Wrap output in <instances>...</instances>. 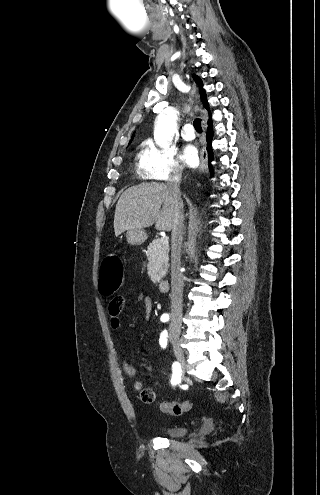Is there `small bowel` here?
Returning <instances> with one entry per match:
<instances>
[{
    "instance_id": "small-bowel-1",
    "label": "small bowel",
    "mask_w": 320,
    "mask_h": 495,
    "mask_svg": "<svg viewBox=\"0 0 320 495\" xmlns=\"http://www.w3.org/2000/svg\"><path fill=\"white\" fill-rule=\"evenodd\" d=\"M133 296V298L130 300V302L127 304V298L129 296ZM122 297V298H121ZM143 304L145 308V314L146 316H150L152 313V308H153V301L152 298L143 293V292H128L124 295H118L115 296L109 303V319H110V324L112 328L118 329L121 325V320H122V313L123 310L125 309L126 305L128 306H136ZM122 368L125 374L128 376H135L137 373V370L134 366H132L127 360H122ZM133 388L135 391H142L143 390V385L139 381H135L133 383Z\"/></svg>"
}]
</instances>
